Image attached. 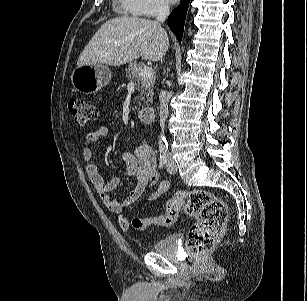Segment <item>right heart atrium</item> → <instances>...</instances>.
Here are the masks:
<instances>
[{"label":"right heart atrium","instance_id":"1","mask_svg":"<svg viewBox=\"0 0 307 301\" xmlns=\"http://www.w3.org/2000/svg\"><path fill=\"white\" fill-rule=\"evenodd\" d=\"M136 12L144 17H155L168 10L165 0H133Z\"/></svg>","mask_w":307,"mask_h":301}]
</instances>
